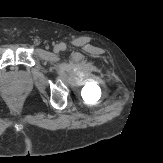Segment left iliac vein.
<instances>
[{
  "label": "left iliac vein",
  "mask_w": 163,
  "mask_h": 163,
  "mask_svg": "<svg viewBox=\"0 0 163 163\" xmlns=\"http://www.w3.org/2000/svg\"><path fill=\"white\" fill-rule=\"evenodd\" d=\"M59 51H60V46L56 45V46L54 47V52H55V53H58Z\"/></svg>",
  "instance_id": "obj_1"
}]
</instances>
